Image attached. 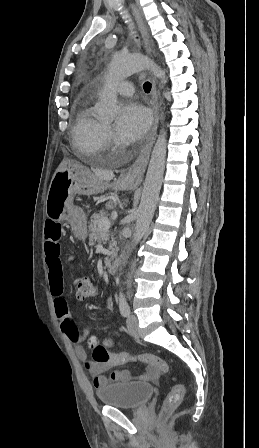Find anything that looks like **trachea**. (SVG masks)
I'll use <instances>...</instances> for the list:
<instances>
[{"label": "trachea", "mask_w": 259, "mask_h": 448, "mask_svg": "<svg viewBox=\"0 0 259 448\" xmlns=\"http://www.w3.org/2000/svg\"><path fill=\"white\" fill-rule=\"evenodd\" d=\"M143 88H144V91H145L146 93H149L150 90H151V88H152V85H151L150 82H145L144 85H143Z\"/></svg>", "instance_id": "trachea-1"}]
</instances>
